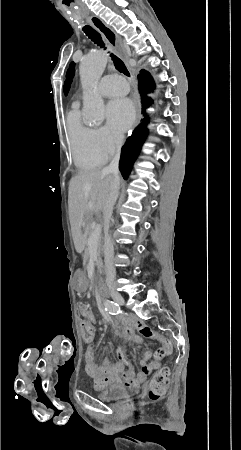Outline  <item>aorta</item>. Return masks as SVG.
Instances as JSON below:
<instances>
[{
	"instance_id": "obj_1",
	"label": "aorta",
	"mask_w": 241,
	"mask_h": 450,
	"mask_svg": "<svg viewBox=\"0 0 241 450\" xmlns=\"http://www.w3.org/2000/svg\"><path fill=\"white\" fill-rule=\"evenodd\" d=\"M107 64L103 51H94L87 55L80 64V80L84 89L83 108L89 123H101L105 117V106L97 92V84Z\"/></svg>"
}]
</instances>
